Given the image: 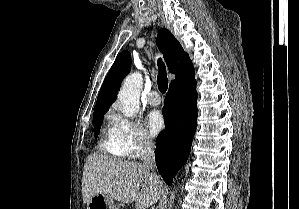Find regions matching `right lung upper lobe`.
Returning a JSON list of instances; mask_svg holds the SVG:
<instances>
[{
  "label": "right lung upper lobe",
  "instance_id": "cb5924a9",
  "mask_svg": "<svg viewBox=\"0 0 299 209\" xmlns=\"http://www.w3.org/2000/svg\"><path fill=\"white\" fill-rule=\"evenodd\" d=\"M157 45L163 53L169 71L176 75L170 86L183 84L194 78L195 71L189 55L169 30L163 28L159 31ZM130 69L131 56L128 51H124L116 58L102 84L94 114L107 112L117 97L122 78Z\"/></svg>",
  "mask_w": 299,
  "mask_h": 209
}]
</instances>
